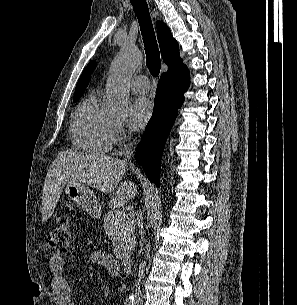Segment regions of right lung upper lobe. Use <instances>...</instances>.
I'll list each match as a JSON object with an SVG mask.
<instances>
[{"label": "right lung upper lobe", "instance_id": "1", "mask_svg": "<svg viewBox=\"0 0 297 305\" xmlns=\"http://www.w3.org/2000/svg\"><path fill=\"white\" fill-rule=\"evenodd\" d=\"M157 37L163 61L168 66V71L166 73H174L184 68L185 65L180 58L178 43L173 38L169 28L161 21L157 22ZM95 67L96 63L91 62L83 71L76 85L74 99H79L83 95Z\"/></svg>", "mask_w": 297, "mask_h": 305}]
</instances>
